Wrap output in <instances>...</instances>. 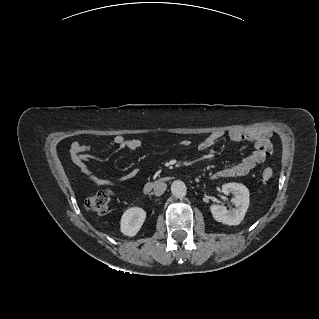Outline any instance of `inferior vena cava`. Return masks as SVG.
<instances>
[{"instance_id":"inferior-vena-cava-1","label":"inferior vena cava","mask_w":319,"mask_h":319,"mask_svg":"<svg viewBox=\"0 0 319 319\" xmlns=\"http://www.w3.org/2000/svg\"><path fill=\"white\" fill-rule=\"evenodd\" d=\"M167 189V185L163 182H159L154 187V194L156 196L162 195Z\"/></svg>"}]
</instances>
